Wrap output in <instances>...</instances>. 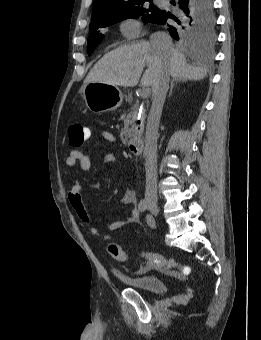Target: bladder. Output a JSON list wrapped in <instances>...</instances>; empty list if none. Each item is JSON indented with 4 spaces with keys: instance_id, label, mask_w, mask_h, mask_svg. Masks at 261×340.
Returning a JSON list of instances; mask_svg holds the SVG:
<instances>
[{
    "instance_id": "bladder-1",
    "label": "bladder",
    "mask_w": 261,
    "mask_h": 340,
    "mask_svg": "<svg viewBox=\"0 0 261 340\" xmlns=\"http://www.w3.org/2000/svg\"><path fill=\"white\" fill-rule=\"evenodd\" d=\"M117 278L128 287L145 293L163 294L167 291L164 279L158 275L126 276L117 274Z\"/></svg>"
}]
</instances>
